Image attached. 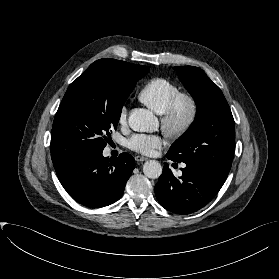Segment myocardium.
<instances>
[{"instance_id": "myocardium-1", "label": "myocardium", "mask_w": 279, "mask_h": 279, "mask_svg": "<svg viewBox=\"0 0 279 279\" xmlns=\"http://www.w3.org/2000/svg\"><path fill=\"white\" fill-rule=\"evenodd\" d=\"M181 104L187 106V114L179 117ZM199 115V104L197 99L190 93L179 92L172 97L167 109L161 115V127L169 138H181L185 136L194 126Z\"/></svg>"}]
</instances>
